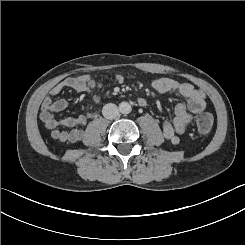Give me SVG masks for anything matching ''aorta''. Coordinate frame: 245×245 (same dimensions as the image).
Segmentation results:
<instances>
[{"label": "aorta", "instance_id": "1", "mask_svg": "<svg viewBox=\"0 0 245 245\" xmlns=\"http://www.w3.org/2000/svg\"><path fill=\"white\" fill-rule=\"evenodd\" d=\"M119 111L122 113V114H128L130 113L131 111V106L128 102H121L119 104Z\"/></svg>", "mask_w": 245, "mask_h": 245}]
</instances>
